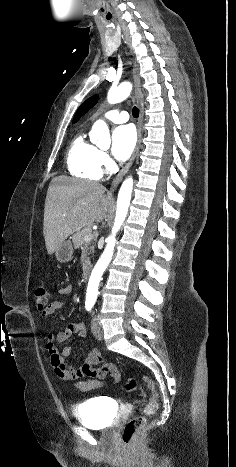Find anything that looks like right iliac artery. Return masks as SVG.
Wrapping results in <instances>:
<instances>
[{
	"label": "right iliac artery",
	"instance_id": "right-iliac-artery-1",
	"mask_svg": "<svg viewBox=\"0 0 236 467\" xmlns=\"http://www.w3.org/2000/svg\"><path fill=\"white\" fill-rule=\"evenodd\" d=\"M93 303H90V302H87L85 303V308L87 311H91L92 307H93Z\"/></svg>",
	"mask_w": 236,
	"mask_h": 467
}]
</instances>
